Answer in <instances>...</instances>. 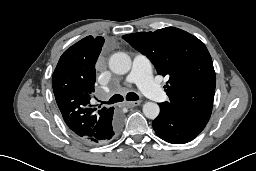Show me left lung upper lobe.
<instances>
[{
	"instance_id": "1",
	"label": "left lung upper lobe",
	"mask_w": 256,
	"mask_h": 171,
	"mask_svg": "<svg viewBox=\"0 0 256 171\" xmlns=\"http://www.w3.org/2000/svg\"><path fill=\"white\" fill-rule=\"evenodd\" d=\"M122 38L146 55L159 75L169 77L164 88L170 101L164 103L208 122L216 77L211 56L203 42L175 27L128 34Z\"/></svg>"
}]
</instances>
